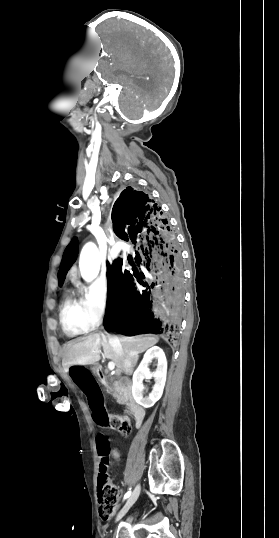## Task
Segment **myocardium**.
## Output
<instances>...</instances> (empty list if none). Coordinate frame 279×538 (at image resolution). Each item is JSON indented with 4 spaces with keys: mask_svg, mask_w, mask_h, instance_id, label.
I'll return each mask as SVG.
<instances>
[{
    "mask_svg": "<svg viewBox=\"0 0 279 538\" xmlns=\"http://www.w3.org/2000/svg\"><path fill=\"white\" fill-rule=\"evenodd\" d=\"M69 208H72V207H69ZM100 222V216H98V218L96 220H94V222L90 225H86V227H93L95 228ZM134 237H135V234H130L128 236H126V241H129L130 243H132V241L134 240Z\"/></svg>",
    "mask_w": 279,
    "mask_h": 538,
    "instance_id": "1",
    "label": "myocardium"
}]
</instances>
